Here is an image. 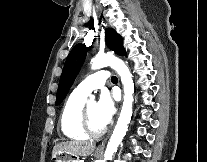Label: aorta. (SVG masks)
<instances>
[{
    "label": "aorta",
    "instance_id": "1",
    "mask_svg": "<svg viewBox=\"0 0 207 162\" xmlns=\"http://www.w3.org/2000/svg\"><path fill=\"white\" fill-rule=\"evenodd\" d=\"M106 66L113 68L120 76L124 90V101L117 124L105 150L104 162L106 160H112L114 153L117 151L119 144L126 134L132 116V104L134 100V83L126 64L121 59L111 54H97L91 60V68L93 70ZM90 101H94V96H91Z\"/></svg>",
    "mask_w": 207,
    "mask_h": 162
}]
</instances>
